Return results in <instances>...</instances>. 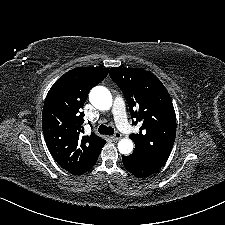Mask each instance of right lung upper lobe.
<instances>
[{"mask_svg": "<svg viewBox=\"0 0 225 225\" xmlns=\"http://www.w3.org/2000/svg\"><path fill=\"white\" fill-rule=\"evenodd\" d=\"M108 72V68L72 69L54 83L46 96L42 112L45 142L55 161L72 174L81 175L91 169L106 143L94 133H81L88 93Z\"/></svg>", "mask_w": 225, "mask_h": 225, "instance_id": "1", "label": "right lung upper lobe"}]
</instances>
